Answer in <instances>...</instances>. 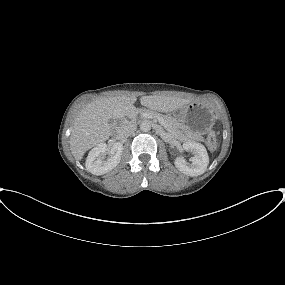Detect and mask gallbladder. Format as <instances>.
<instances>
[{
	"mask_svg": "<svg viewBox=\"0 0 285 285\" xmlns=\"http://www.w3.org/2000/svg\"><path fill=\"white\" fill-rule=\"evenodd\" d=\"M109 124H110V125H113V124H114V121H113L112 119H110V120H109Z\"/></svg>",
	"mask_w": 285,
	"mask_h": 285,
	"instance_id": "obj_1",
	"label": "gallbladder"
}]
</instances>
